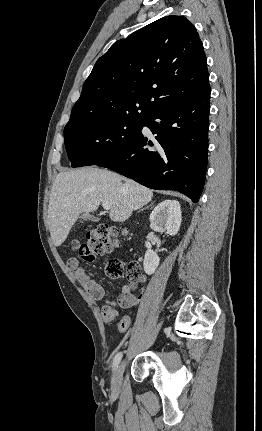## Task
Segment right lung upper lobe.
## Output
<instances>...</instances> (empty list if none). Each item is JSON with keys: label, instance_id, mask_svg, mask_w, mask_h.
<instances>
[{"label": "right lung upper lobe", "instance_id": "1", "mask_svg": "<svg viewBox=\"0 0 262 431\" xmlns=\"http://www.w3.org/2000/svg\"><path fill=\"white\" fill-rule=\"evenodd\" d=\"M208 84L195 27L184 17H163L116 41L97 60L66 126L122 116L147 118L194 97Z\"/></svg>", "mask_w": 262, "mask_h": 431}]
</instances>
